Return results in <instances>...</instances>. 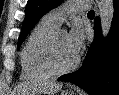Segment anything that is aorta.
<instances>
[{
	"label": "aorta",
	"mask_w": 119,
	"mask_h": 95,
	"mask_svg": "<svg viewBox=\"0 0 119 95\" xmlns=\"http://www.w3.org/2000/svg\"><path fill=\"white\" fill-rule=\"evenodd\" d=\"M100 12L101 31L105 38L110 32L114 16L113 0H96Z\"/></svg>",
	"instance_id": "obj_1"
}]
</instances>
